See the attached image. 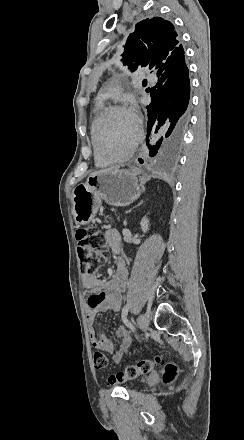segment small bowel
Here are the masks:
<instances>
[{
	"label": "small bowel",
	"mask_w": 244,
	"mask_h": 440,
	"mask_svg": "<svg viewBox=\"0 0 244 440\" xmlns=\"http://www.w3.org/2000/svg\"><path fill=\"white\" fill-rule=\"evenodd\" d=\"M107 246L112 252L118 253L121 249L120 234L116 229H108L104 233ZM128 271L123 258L118 257L115 261V272L111 279L101 280L94 274L83 275V285L91 294L87 300V320L89 327V340L93 348L111 354L116 363L120 362L130 351L133 341L125 326L116 329V335L120 338L119 347L106 337L101 331H95L92 324L98 313L119 311L124 292L127 287Z\"/></svg>",
	"instance_id": "1"
}]
</instances>
